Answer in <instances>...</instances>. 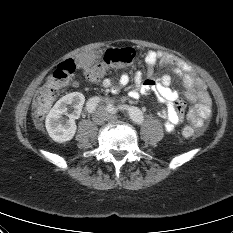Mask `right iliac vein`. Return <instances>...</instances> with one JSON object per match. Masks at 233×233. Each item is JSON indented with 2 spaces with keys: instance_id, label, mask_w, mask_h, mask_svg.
Segmentation results:
<instances>
[{
  "instance_id": "right-iliac-vein-1",
  "label": "right iliac vein",
  "mask_w": 233,
  "mask_h": 233,
  "mask_svg": "<svg viewBox=\"0 0 233 233\" xmlns=\"http://www.w3.org/2000/svg\"><path fill=\"white\" fill-rule=\"evenodd\" d=\"M106 119H107V116L105 112L101 110L97 111L93 116V120L97 124H103L106 121Z\"/></svg>"
}]
</instances>
